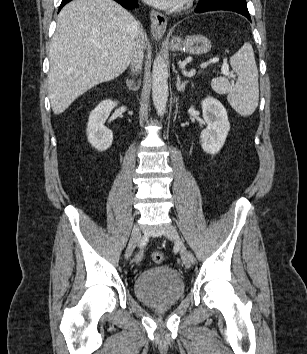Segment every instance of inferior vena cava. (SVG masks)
<instances>
[{
  "label": "inferior vena cava",
  "mask_w": 307,
  "mask_h": 354,
  "mask_svg": "<svg viewBox=\"0 0 307 354\" xmlns=\"http://www.w3.org/2000/svg\"><path fill=\"white\" fill-rule=\"evenodd\" d=\"M145 38L143 31L139 32L138 42L133 52V57L131 60V68L134 71H138L142 67L143 62V50H144Z\"/></svg>",
  "instance_id": "obj_1"
}]
</instances>
